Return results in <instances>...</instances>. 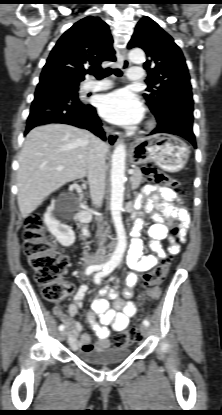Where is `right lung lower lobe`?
<instances>
[{
	"label": "right lung lower lobe",
	"instance_id": "obj_1",
	"mask_svg": "<svg viewBox=\"0 0 222 415\" xmlns=\"http://www.w3.org/2000/svg\"><path fill=\"white\" fill-rule=\"evenodd\" d=\"M71 84L60 75L47 73L40 76L25 134L38 125L54 122L85 128L106 140L95 108L81 103Z\"/></svg>",
	"mask_w": 222,
	"mask_h": 415
}]
</instances>
